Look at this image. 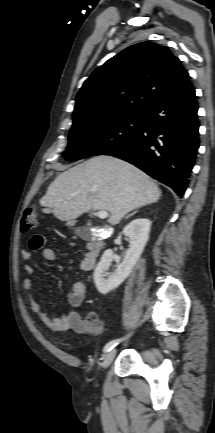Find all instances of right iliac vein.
<instances>
[{
	"mask_svg": "<svg viewBox=\"0 0 215 433\" xmlns=\"http://www.w3.org/2000/svg\"><path fill=\"white\" fill-rule=\"evenodd\" d=\"M117 350L116 349H111L104 358L103 361V368L106 369L114 360L115 355H116Z\"/></svg>",
	"mask_w": 215,
	"mask_h": 433,
	"instance_id": "right-iliac-vein-1",
	"label": "right iliac vein"
}]
</instances>
